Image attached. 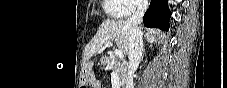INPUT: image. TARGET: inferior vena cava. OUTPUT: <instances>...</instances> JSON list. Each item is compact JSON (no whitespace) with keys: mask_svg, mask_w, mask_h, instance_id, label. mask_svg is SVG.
Here are the masks:
<instances>
[{"mask_svg":"<svg viewBox=\"0 0 227 88\" xmlns=\"http://www.w3.org/2000/svg\"><path fill=\"white\" fill-rule=\"evenodd\" d=\"M148 7L147 0H140L137 3V10L132 13V15L125 22V26L128 29V70L126 76V88H134L133 84V74L137 70L139 63L141 61L143 52V39L142 32L139 25L142 22L145 11Z\"/></svg>","mask_w":227,"mask_h":88,"instance_id":"obj_1","label":"inferior vena cava"}]
</instances>
